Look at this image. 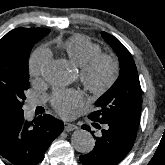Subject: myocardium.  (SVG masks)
Here are the masks:
<instances>
[{
  "label": "myocardium",
  "instance_id": "1",
  "mask_svg": "<svg viewBox=\"0 0 165 165\" xmlns=\"http://www.w3.org/2000/svg\"><path fill=\"white\" fill-rule=\"evenodd\" d=\"M102 67L107 68V74L103 79H100L99 72ZM119 72V63L113 55L99 53L80 67V81L91 93L102 95L116 83Z\"/></svg>",
  "mask_w": 165,
  "mask_h": 165
}]
</instances>
